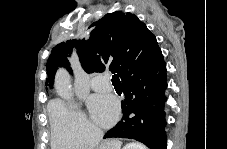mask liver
Wrapping results in <instances>:
<instances>
[{"label": "liver", "instance_id": "liver-1", "mask_svg": "<svg viewBox=\"0 0 227 149\" xmlns=\"http://www.w3.org/2000/svg\"><path fill=\"white\" fill-rule=\"evenodd\" d=\"M122 142L119 140H108L101 144L97 149H121ZM142 149H146L145 146L141 145Z\"/></svg>", "mask_w": 227, "mask_h": 149}]
</instances>
